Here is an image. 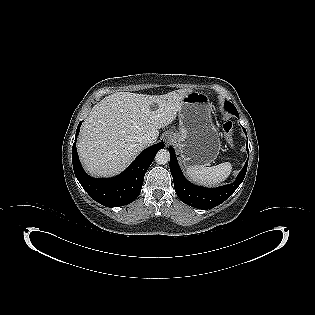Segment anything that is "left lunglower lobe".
<instances>
[{
	"label": "left lung lower lobe",
	"instance_id": "1",
	"mask_svg": "<svg viewBox=\"0 0 315 315\" xmlns=\"http://www.w3.org/2000/svg\"><path fill=\"white\" fill-rule=\"evenodd\" d=\"M235 116L239 117L238 114ZM243 130L246 134V130L244 128ZM246 150L248 151V143ZM169 153L170 171L172 173L174 187L178 197L185 204L199 209H210L224 202L241 184L247 171L248 160L233 183L217 188L199 187L186 180L178 165L172 147H169Z\"/></svg>",
	"mask_w": 315,
	"mask_h": 315
}]
</instances>
